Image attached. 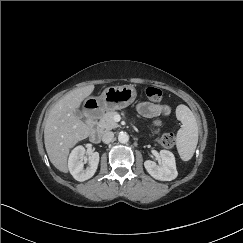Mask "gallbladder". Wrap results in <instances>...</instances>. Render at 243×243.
<instances>
[{
	"label": "gallbladder",
	"mask_w": 243,
	"mask_h": 243,
	"mask_svg": "<svg viewBox=\"0 0 243 243\" xmlns=\"http://www.w3.org/2000/svg\"><path fill=\"white\" fill-rule=\"evenodd\" d=\"M76 116L82 118V113L78 110V111H76Z\"/></svg>",
	"instance_id": "obj_1"
}]
</instances>
